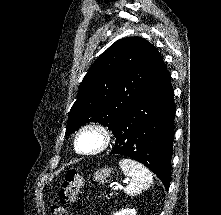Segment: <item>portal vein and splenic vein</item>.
<instances>
[{
  "label": "portal vein and splenic vein",
  "mask_w": 221,
  "mask_h": 215,
  "mask_svg": "<svg viewBox=\"0 0 221 215\" xmlns=\"http://www.w3.org/2000/svg\"><path fill=\"white\" fill-rule=\"evenodd\" d=\"M124 182H128V180H125ZM123 187L122 186H120V185H118V186H115L114 188H113V191L115 192V191H117V190H119V189H122ZM111 194H113V192L111 193Z\"/></svg>",
  "instance_id": "obj_1"
}]
</instances>
